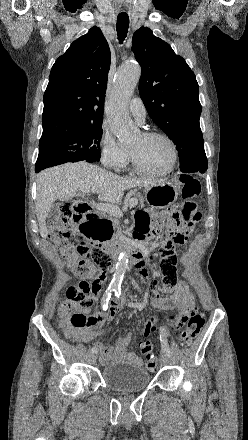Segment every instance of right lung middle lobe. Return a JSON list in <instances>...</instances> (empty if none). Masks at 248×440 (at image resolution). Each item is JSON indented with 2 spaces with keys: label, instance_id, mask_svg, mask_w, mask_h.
Wrapping results in <instances>:
<instances>
[{
  "label": "right lung middle lobe",
  "instance_id": "right-lung-middle-lobe-1",
  "mask_svg": "<svg viewBox=\"0 0 248 440\" xmlns=\"http://www.w3.org/2000/svg\"><path fill=\"white\" fill-rule=\"evenodd\" d=\"M102 124L42 136L35 171L66 162H98Z\"/></svg>",
  "mask_w": 248,
  "mask_h": 440
}]
</instances>
